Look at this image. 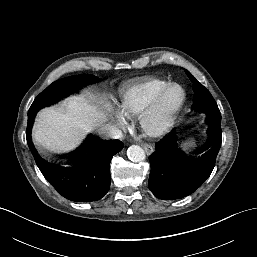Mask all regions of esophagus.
Returning <instances> with one entry per match:
<instances>
[{
	"label": "esophagus",
	"mask_w": 257,
	"mask_h": 257,
	"mask_svg": "<svg viewBox=\"0 0 257 257\" xmlns=\"http://www.w3.org/2000/svg\"><path fill=\"white\" fill-rule=\"evenodd\" d=\"M141 146L143 147V149L145 150V152L148 155L152 154L153 151H154L153 147L151 145H149V144H142Z\"/></svg>",
	"instance_id": "1"
}]
</instances>
